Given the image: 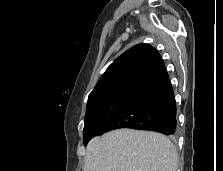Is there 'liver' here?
<instances>
[{"mask_svg": "<svg viewBox=\"0 0 223 171\" xmlns=\"http://www.w3.org/2000/svg\"><path fill=\"white\" fill-rule=\"evenodd\" d=\"M177 166L168 137L122 128L89 141L83 171H176Z\"/></svg>", "mask_w": 223, "mask_h": 171, "instance_id": "6515ba94", "label": "liver"}]
</instances>
